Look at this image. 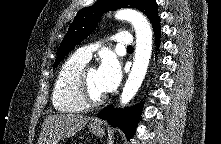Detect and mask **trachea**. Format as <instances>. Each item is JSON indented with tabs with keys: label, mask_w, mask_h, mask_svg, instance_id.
<instances>
[{
	"label": "trachea",
	"mask_w": 221,
	"mask_h": 144,
	"mask_svg": "<svg viewBox=\"0 0 221 144\" xmlns=\"http://www.w3.org/2000/svg\"><path fill=\"white\" fill-rule=\"evenodd\" d=\"M127 49L128 50H133V47L132 46H128Z\"/></svg>",
	"instance_id": "trachea-1"
}]
</instances>
